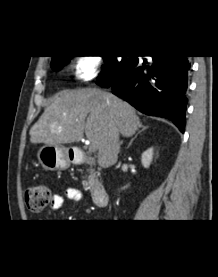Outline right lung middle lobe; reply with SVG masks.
I'll return each instance as SVG.
<instances>
[{
    "mask_svg": "<svg viewBox=\"0 0 218 277\" xmlns=\"http://www.w3.org/2000/svg\"><path fill=\"white\" fill-rule=\"evenodd\" d=\"M73 56H60L51 61L52 69L59 70L61 67L66 65ZM105 61L103 71L99 75V81L107 84H112L119 73L128 65H130L135 57H122L118 60L115 56H102Z\"/></svg>",
    "mask_w": 218,
    "mask_h": 277,
    "instance_id": "obj_1",
    "label": "right lung middle lobe"
}]
</instances>
